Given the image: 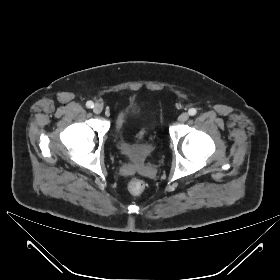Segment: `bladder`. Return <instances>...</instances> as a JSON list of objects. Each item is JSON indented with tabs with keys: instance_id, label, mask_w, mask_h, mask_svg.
<instances>
[{
	"instance_id": "obj_1",
	"label": "bladder",
	"mask_w": 280,
	"mask_h": 280,
	"mask_svg": "<svg viewBox=\"0 0 280 280\" xmlns=\"http://www.w3.org/2000/svg\"><path fill=\"white\" fill-rule=\"evenodd\" d=\"M141 111L134 105L120 110L115 121V142L118 150L136 164L146 162L153 154L155 146L152 141L129 142L125 138L127 125L134 118L140 117Z\"/></svg>"
}]
</instances>
